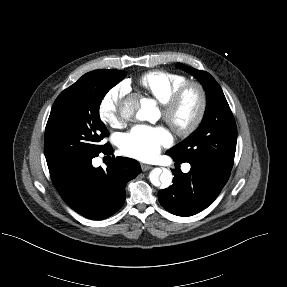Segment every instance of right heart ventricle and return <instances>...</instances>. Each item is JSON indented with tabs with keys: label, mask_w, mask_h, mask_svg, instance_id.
Masks as SVG:
<instances>
[{
	"label": "right heart ventricle",
	"mask_w": 287,
	"mask_h": 287,
	"mask_svg": "<svg viewBox=\"0 0 287 287\" xmlns=\"http://www.w3.org/2000/svg\"><path fill=\"white\" fill-rule=\"evenodd\" d=\"M138 82L148 94L163 105L181 85L187 82V78L179 73L158 70L143 74Z\"/></svg>",
	"instance_id": "right-heart-ventricle-1"
}]
</instances>
